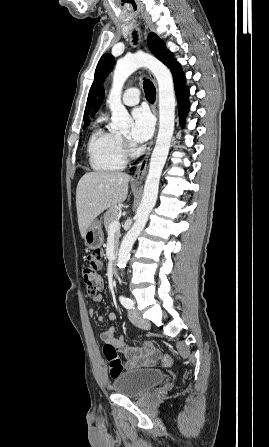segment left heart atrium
<instances>
[{
    "label": "left heart atrium",
    "instance_id": "obj_1",
    "mask_svg": "<svg viewBox=\"0 0 269 447\" xmlns=\"http://www.w3.org/2000/svg\"><path fill=\"white\" fill-rule=\"evenodd\" d=\"M132 119V139L136 143H143L150 139L154 132V121L151 113L145 107H139L133 110Z\"/></svg>",
    "mask_w": 269,
    "mask_h": 447
}]
</instances>
